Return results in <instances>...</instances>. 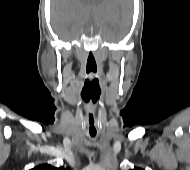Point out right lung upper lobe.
Wrapping results in <instances>:
<instances>
[{
    "label": "right lung upper lobe",
    "instance_id": "right-lung-upper-lobe-1",
    "mask_svg": "<svg viewBox=\"0 0 190 170\" xmlns=\"http://www.w3.org/2000/svg\"><path fill=\"white\" fill-rule=\"evenodd\" d=\"M31 170H70V169L64 168V167L57 168V167H54V166L49 165V164H42V165L34 167Z\"/></svg>",
    "mask_w": 190,
    "mask_h": 170
}]
</instances>
